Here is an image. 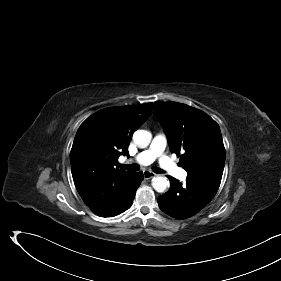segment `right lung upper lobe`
I'll return each instance as SVG.
<instances>
[{
  "label": "right lung upper lobe",
  "mask_w": 281,
  "mask_h": 281,
  "mask_svg": "<svg viewBox=\"0 0 281 281\" xmlns=\"http://www.w3.org/2000/svg\"><path fill=\"white\" fill-rule=\"evenodd\" d=\"M152 110V103L107 108L79 127L70 152L71 171L78 193L91 210L115 203L133 175L118 169V157L129 155L132 134Z\"/></svg>",
  "instance_id": "1"
}]
</instances>
